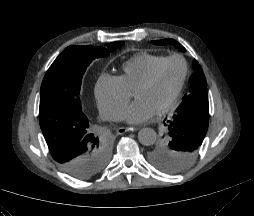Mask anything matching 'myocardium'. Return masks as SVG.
Listing matches in <instances>:
<instances>
[{
    "instance_id": "obj_1",
    "label": "myocardium",
    "mask_w": 254,
    "mask_h": 216,
    "mask_svg": "<svg viewBox=\"0 0 254 216\" xmlns=\"http://www.w3.org/2000/svg\"><path fill=\"white\" fill-rule=\"evenodd\" d=\"M171 60L179 61L183 66V72H182V76H181L180 82L178 84V87H177L173 97L165 106H163L160 110H158L156 112L158 115H163V114L167 113L176 105V103L182 93L184 84L186 82V79H187V76L189 73V65H188L187 60L183 56L178 55V54L170 55V56L163 58L159 63L156 64V66L151 70V72L148 74V76L134 90V92H135L139 89L150 86L157 78L163 65Z\"/></svg>"
}]
</instances>
